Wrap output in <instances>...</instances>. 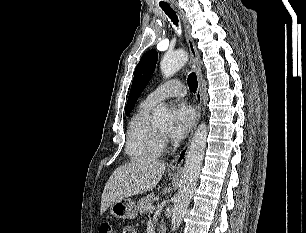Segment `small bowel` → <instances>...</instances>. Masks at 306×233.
<instances>
[{"label":"small bowel","instance_id":"c3829d8e","mask_svg":"<svg viewBox=\"0 0 306 233\" xmlns=\"http://www.w3.org/2000/svg\"><path fill=\"white\" fill-rule=\"evenodd\" d=\"M128 230H132L133 233H136L135 230L133 228H131V227L125 228L123 233H128Z\"/></svg>","mask_w":306,"mask_h":233}]
</instances>
